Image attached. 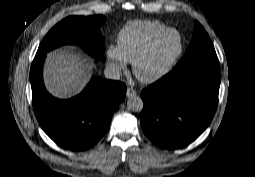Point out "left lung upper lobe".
<instances>
[{
    "mask_svg": "<svg viewBox=\"0 0 255 177\" xmlns=\"http://www.w3.org/2000/svg\"><path fill=\"white\" fill-rule=\"evenodd\" d=\"M198 60H218V58L208 34L196 21L194 36L189 48L175 68Z\"/></svg>",
    "mask_w": 255,
    "mask_h": 177,
    "instance_id": "1",
    "label": "left lung upper lobe"
}]
</instances>
